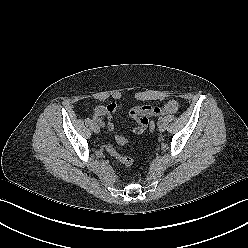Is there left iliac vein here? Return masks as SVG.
<instances>
[{"label": "left iliac vein", "instance_id": "1", "mask_svg": "<svg viewBox=\"0 0 248 248\" xmlns=\"http://www.w3.org/2000/svg\"><path fill=\"white\" fill-rule=\"evenodd\" d=\"M158 130L160 132H164L166 130V125L164 123H159L158 124Z\"/></svg>", "mask_w": 248, "mask_h": 248}]
</instances>
